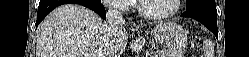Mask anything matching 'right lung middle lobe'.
I'll list each match as a JSON object with an SVG mask.
<instances>
[{"mask_svg": "<svg viewBox=\"0 0 249 57\" xmlns=\"http://www.w3.org/2000/svg\"><path fill=\"white\" fill-rule=\"evenodd\" d=\"M92 1L101 2V0H92Z\"/></svg>", "mask_w": 249, "mask_h": 57, "instance_id": "obj_1", "label": "right lung middle lobe"}]
</instances>
